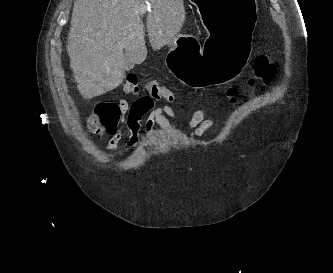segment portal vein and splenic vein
I'll list each match as a JSON object with an SVG mask.
<instances>
[{"mask_svg":"<svg viewBox=\"0 0 333 273\" xmlns=\"http://www.w3.org/2000/svg\"><path fill=\"white\" fill-rule=\"evenodd\" d=\"M147 10L150 11V6H149V5H145V6L141 7V8L138 10V12L143 14V13H145Z\"/></svg>","mask_w":333,"mask_h":273,"instance_id":"1","label":"portal vein and splenic vein"}]
</instances>
